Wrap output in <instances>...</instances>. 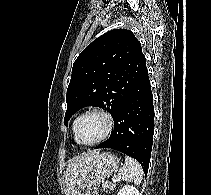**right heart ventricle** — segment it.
<instances>
[{
	"label": "right heart ventricle",
	"instance_id": "right-heart-ventricle-1",
	"mask_svg": "<svg viewBox=\"0 0 211 195\" xmlns=\"http://www.w3.org/2000/svg\"><path fill=\"white\" fill-rule=\"evenodd\" d=\"M77 119H78V118H76V119L74 120V122H73V131H74V129H75V124H76Z\"/></svg>",
	"mask_w": 211,
	"mask_h": 195
}]
</instances>
